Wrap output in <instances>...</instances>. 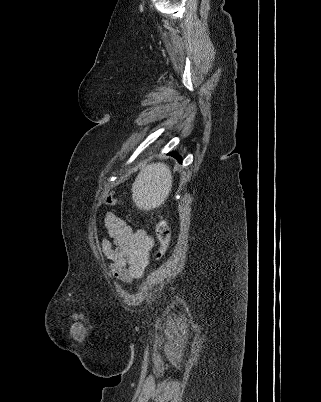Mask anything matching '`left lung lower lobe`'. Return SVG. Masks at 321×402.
<instances>
[{"label": "left lung lower lobe", "mask_w": 321, "mask_h": 402, "mask_svg": "<svg viewBox=\"0 0 321 402\" xmlns=\"http://www.w3.org/2000/svg\"><path fill=\"white\" fill-rule=\"evenodd\" d=\"M171 156H173V157H175L177 160H178V162H180V163H182V159H181V156H179L176 152H171V153H169Z\"/></svg>", "instance_id": "left-lung-lower-lobe-1"}]
</instances>
